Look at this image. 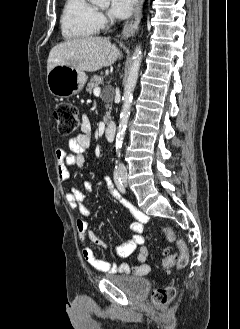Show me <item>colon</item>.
I'll return each mask as SVG.
<instances>
[{"instance_id":"5ec220e1","label":"colon","mask_w":240,"mask_h":329,"mask_svg":"<svg viewBox=\"0 0 240 329\" xmlns=\"http://www.w3.org/2000/svg\"><path fill=\"white\" fill-rule=\"evenodd\" d=\"M54 115L58 125V131L63 136L71 135L81 125V118L79 111L75 105L69 102H61L56 105ZM162 232L169 241L175 242L179 254L165 252L162 266L164 269L176 267L178 269L184 268L189 261L188 249L177 233L168 227H163ZM175 297V288L172 285H165L159 287L151 293V301L156 305H166L170 303Z\"/></svg>"}]
</instances>
